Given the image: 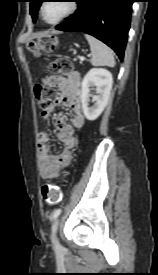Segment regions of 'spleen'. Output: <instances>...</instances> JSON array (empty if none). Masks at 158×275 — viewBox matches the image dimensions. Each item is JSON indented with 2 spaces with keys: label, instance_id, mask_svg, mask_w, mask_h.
<instances>
[{
  "label": "spleen",
  "instance_id": "obj_1",
  "mask_svg": "<svg viewBox=\"0 0 158 275\" xmlns=\"http://www.w3.org/2000/svg\"><path fill=\"white\" fill-rule=\"evenodd\" d=\"M85 37L92 51V58L90 60L91 64L94 66L114 67L115 59L113 51L107 45L91 35H85Z\"/></svg>",
  "mask_w": 158,
  "mask_h": 275
}]
</instances>
